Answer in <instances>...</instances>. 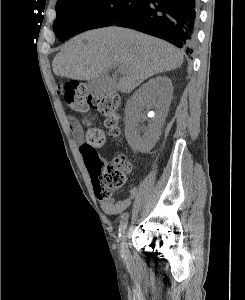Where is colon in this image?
Returning a JSON list of instances; mask_svg holds the SVG:
<instances>
[{"label": "colon", "instance_id": "colon-1", "mask_svg": "<svg viewBox=\"0 0 245 300\" xmlns=\"http://www.w3.org/2000/svg\"><path fill=\"white\" fill-rule=\"evenodd\" d=\"M69 106L81 114L89 108L97 110L105 118V127L112 137L120 133V98L116 93H107L101 96L92 95L84 82L73 81L59 86ZM87 125L80 146L86 167L92 178L96 194L100 198L109 199L115 191L126 182L127 174L131 171V163L124 155L116 156L112 161H106L99 153L106 141L105 132L92 126V118L85 117Z\"/></svg>", "mask_w": 245, "mask_h": 300}]
</instances>
